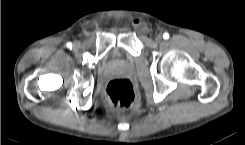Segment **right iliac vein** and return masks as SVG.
<instances>
[{
  "mask_svg": "<svg viewBox=\"0 0 245 145\" xmlns=\"http://www.w3.org/2000/svg\"><path fill=\"white\" fill-rule=\"evenodd\" d=\"M79 47V42L78 41H75L74 42V48L77 49Z\"/></svg>",
  "mask_w": 245,
  "mask_h": 145,
  "instance_id": "1",
  "label": "right iliac vein"
}]
</instances>
